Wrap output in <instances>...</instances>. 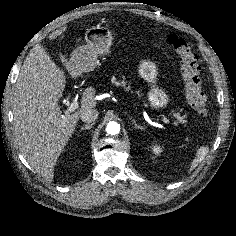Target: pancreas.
Masks as SVG:
<instances>
[{
    "instance_id": "1",
    "label": "pancreas",
    "mask_w": 236,
    "mask_h": 236,
    "mask_svg": "<svg viewBox=\"0 0 236 236\" xmlns=\"http://www.w3.org/2000/svg\"><path fill=\"white\" fill-rule=\"evenodd\" d=\"M112 83L115 84V85L120 84L123 87H125V85H128V86L130 85V83H128L127 81H125V80L119 81L116 78H112ZM137 94H138V96H140V92L139 91L137 92ZM174 116L178 119L179 123H183L184 124V123L187 122L185 117L181 116L179 112L175 113Z\"/></svg>"
}]
</instances>
